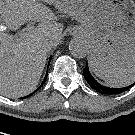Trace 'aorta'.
<instances>
[{"mask_svg":"<svg viewBox=\"0 0 135 135\" xmlns=\"http://www.w3.org/2000/svg\"><path fill=\"white\" fill-rule=\"evenodd\" d=\"M69 51L76 58H84L87 55L88 47L81 39H73L69 43Z\"/></svg>","mask_w":135,"mask_h":135,"instance_id":"aorta-1","label":"aorta"}]
</instances>
